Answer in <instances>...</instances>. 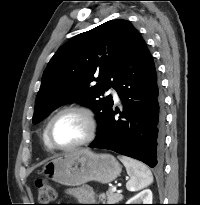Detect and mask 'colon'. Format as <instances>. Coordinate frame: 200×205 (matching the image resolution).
<instances>
[{
	"instance_id": "1",
	"label": "colon",
	"mask_w": 200,
	"mask_h": 205,
	"mask_svg": "<svg viewBox=\"0 0 200 205\" xmlns=\"http://www.w3.org/2000/svg\"><path fill=\"white\" fill-rule=\"evenodd\" d=\"M37 196L39 200V205H52V203L56 198V190L54 186H52L48 181L44 179H38L35 182Z\"/></svg>"
}]
</instances>
